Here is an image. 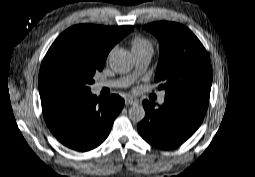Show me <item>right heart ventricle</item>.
<instances>
[{
  "label": "right heart ventricle",
  "instance_id": "right-heart-ventricle-1",
  "mask_svg": "<svg viewBox=\"0 0 255 177\" xmlns=\"http://www.w3.org/2000/svg\"><path fill=\"white\" fill-rule=\"evenodd\" d=\"M130 43L133 54H139L145 51H153L151 41L141 35L133 37Z\"/></svg>",
  "mask_w": 255,
  "mask_h": 177
}]
</instances>
